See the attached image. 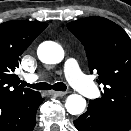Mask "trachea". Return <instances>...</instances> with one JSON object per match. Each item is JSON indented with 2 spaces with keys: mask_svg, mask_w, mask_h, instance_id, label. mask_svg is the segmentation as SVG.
<instances>
[{
  "mask_svg": "<svg viewBox=\"0 0 131 131\" xmlns=\"http://www.w3.org/2000/svg\"><path fill=\"white\" fill-rule=\"evenodd\" d=\"M23 86H27L36 90H56V91H66L67 87L63 82L55 83L54 85H50L46 82H40L37 84H29L26 82H22Z\"/></svg>",
  "mask_w": 131,
  "mask_h": 131,
  "instance_id": "3493384b",
  "label": "trachea"
}]
</instances>
